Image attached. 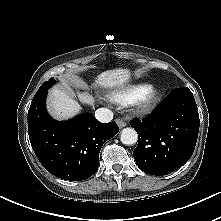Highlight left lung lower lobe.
I'll return each instance as SVG.
<instances>
[{
    "mask_svg": "<svg viewBox=\"0 0 221 221\" xmlns=\"http://www.w3.org/2000/svg\"><path fill=\"white\" fill-rule=\"evenodd\" d=\"M130 124L139 136L133 151L138 167L162 176L191 158L200 120L194 96L184 87L172 90L151 115Z\"/></svg>",
    "mask_w": 221,
    "mask_h": 221,
    "instance_id": "left-lung-lower-lobe-1",
    "label": "left lung lower lobe"
}]
</instances>
